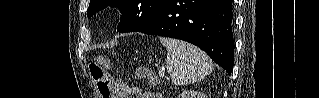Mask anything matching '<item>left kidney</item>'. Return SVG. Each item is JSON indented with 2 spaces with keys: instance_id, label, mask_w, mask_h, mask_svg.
I'll list each match as a JSON object with an SVG mask.
<instances>
[{
  "instance_id": "obj_1",
  "label": "left kidney",
  "mask_w": 319,
  "mask_h": 98,
  "mask_svg": "<svg viewBox=\"0 0 319 98\" xmlns=\"http://www.w3.org/2000/svg\"><path fill=\"white\" fill-rule=\"evenodd\" d=\"M178 98H207V96L206 94H204V92L187 90V91L181 92Z\"/></svg>"
}]
</instances>
